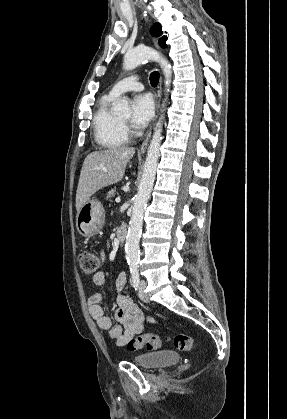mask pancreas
I'll use <instances>...</instances> for the list:
<instances>
[{"label":"pancreas","mask_w":287,"mask_h":419,"mask_svg":"<svg viewBox=\"0 0 287 419\" xmlns=\"http://www.w3.org/2000/svg\"><path fill=\"white\" fill-rule=\"evenodd\" d=\"M115 194H117V192H116V189H111L109 192H108V194H107V196H106V199L107 200H110Z\"/></svg>","instance_id":"1"}]
</instances>
